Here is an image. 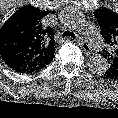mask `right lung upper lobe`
<instances>
[{
	"label": "right lung upper lobe",
	"mask_w": 118,
	"mask_h": 118,
	"mask_svg": "<svg viewBox=\"0 0 118 118\" xmlns=\"http://www.w3.org/2000/svg\"><path fill=\"white\" fill-rule=\"evenodd\" d=\"M54 11L31 5L16 11L0 28V55L12 69L31 73L46 67L53 59L56 43L50 27L42 19Z\"/></svg>",
	"instance_id": "right-lung-upper-lobe-1"
}]
</instances>
